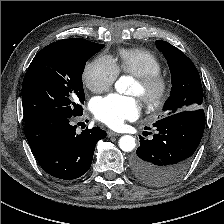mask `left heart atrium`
I'll use <instances>...</instances> for the list:
<instances>
[{"mask_svg": "<svg viewBox=\"0 0 224 224\" xmlns=\"http://www.w3.org/2000/svg\"><path fill=\"white\" fill-rule=\"evenodd\" d=\"M139 112V101L132 96L110 94L93 103L95 117L111 128H118L124 121L136 118Z\"/></svg>", "mask_w": 224, "mask_h": 224, "instance_id": "1", "label": "left heart atrium"}]
</instances>
